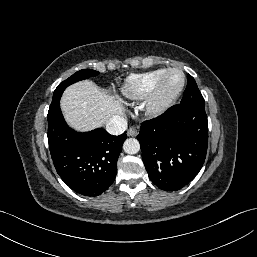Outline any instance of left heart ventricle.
Segmentation results:
<instances>
[{
    "label": "left heart ventricle",
    "instance_id": "1",
    "mask_svg": "<svg viewBox=\"0 0 257 257\" xmlns=\"http://www.w3.org/2000/svg\"><path fill=\"white\" fill-rule=\"evenodd\" d=\"M182 77L179 73H171L165 81V91L171 93L181 84Z\"/></svg>",
    "mask_w": 257,
    "mask_h": 257
}]
</instances>
